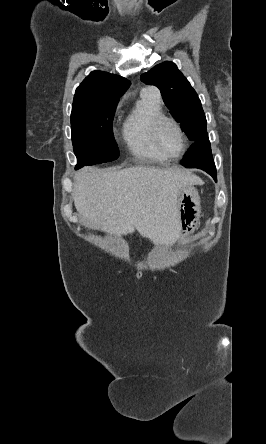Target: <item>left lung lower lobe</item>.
Masks as SVG:
<instances>
[{
	"mask_svg": "<svg viewBox=\"0 0 266 444\" xmlns=\"http://www.w3.org/2000/svg\"><path fill=\"white\" fill-rule=\"evenodd\" d=\"M186 168H199L210 174L217 181L216 168L212 157L208 135L198 140L181 161Z\"/></svg>",
	"mask_w": 266,
	"mask_h": 444,
	"instance_id": "obj_1",
	"label": "left lung lower lobe"
}]
</instances>
